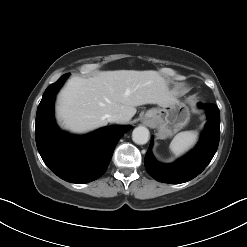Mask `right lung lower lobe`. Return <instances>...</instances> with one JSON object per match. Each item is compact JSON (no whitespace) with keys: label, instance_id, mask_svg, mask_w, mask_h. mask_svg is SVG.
Segmentation results:
<instances>
[{"label":"right lung lower lobe","instance_id":"1","mask_svg":"<svg viewBox=\"0 0 247 247\" xmlns=\"http://www.w3.org/2000/svg\"><path fill=\"white\" fill-rule=\"evenodd\" d=\"M68 75L61 76L43 94L36 114V145L57 176L72 183H87L104 174L116 144L130 127H104L85 136L60 131L54 121L53 102Z\"/></svg>","mask_w":247,"mask_h":247}]
</instances>
